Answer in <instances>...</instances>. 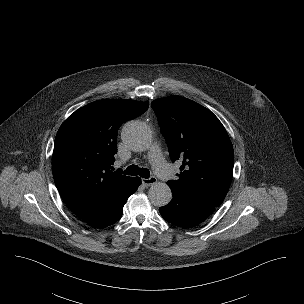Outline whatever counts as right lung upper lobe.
Returning a JSON list of instances; mask_svg holds the SVG:
<instances>
[{
  "mask_svg": "<svg viewBox=\"0 0 304 304\" xmlns=\"http://www.w3.org/2000/svg\"><path fill=\"white\" fill-rule=\"evenodd\" d=\"M148 106V101L100 100L75 111L59 128L53 177L64 202L82 220L96 215L131 179L113 171L117 132Z\"/></svg>",
  "mask_w": 304,
  "mask_h": 304,
  "instance_id": "obj_1",
  "label": "right lung upper lobe"
}]
</instances>
